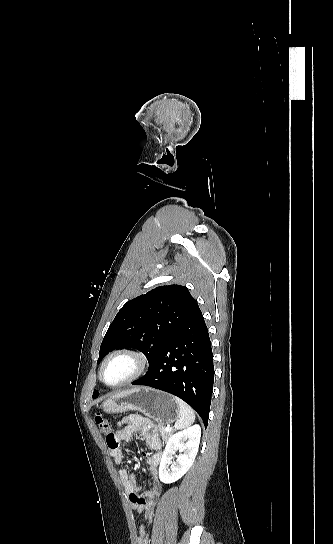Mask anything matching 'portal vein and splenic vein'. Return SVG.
Returning <instances> with one entry per match:
<instances>
[{"mask_svg":"<svg viewBox=\"0 0 333 544\" xmlns=\"http://www.w3.org/2000/svg\"><path fill=\"white\" fill-rule=\"evenodd\" d=\"M171 430H172V428L169 425H167V427L165 428V431L170 432Z\"/></svg>","mask_w":333,"mask_h":544,"instance_id":"portal-vein-and-splenic-vein-1","label":"portal vein and splenic vein"}]
</instances>
